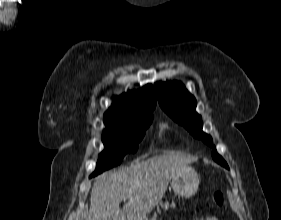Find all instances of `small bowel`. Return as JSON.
<instances>
[{
	"label": "small bowel",
	"mask_w": 281,
	"mask_h": 220,
	"mask_svg": "<svg viewBox=\"0 0 281 220\" xmlns=\"http://www.w3.org/2000/svg\"><path fill=\"white\" fill-rule=\"evenodd\" d=\"M196 220H219L217 217H215V216H209V217H207V218H204V219H196Z\"/></svg>",
	"instance_id": "small-bowel-1"
}]
</instances>
